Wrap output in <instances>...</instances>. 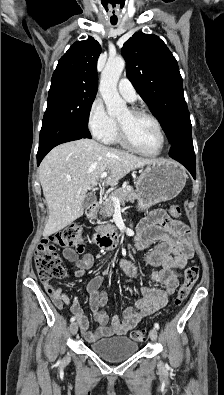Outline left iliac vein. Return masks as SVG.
<instances>
[{"label": "left iliac vein", "mask_w": 224, "mask_h": 395, "mask_svg": "<svg viewBox=\"0 0 224 395\" xmlns=\"http://www.w3.org/2000/svg\"><path fill=\"white\" fill-rule=\"evenodd\" d=\"M149 336H150V339H151L152 341H156V340H157V337H158L157 330H156L155 328H152V329L150 330V332H149Z\"/></svg>", "instance_id": "4c4485c4"}]
</instances>
